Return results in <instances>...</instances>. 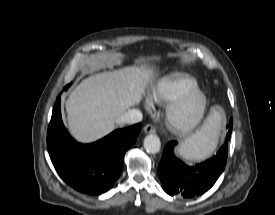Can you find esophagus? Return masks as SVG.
I'll list each match as a JSON object with an SVG mask.
<instances>
[{
	"mask_svg": "<svg viewBox=\"0 0 275 215\" xmlns=\"http://www.w3.org/2000/svg\"><path fill=\"white\" fill-rule=\"evenodd\" d=\"M143 130L145 133H155L156 132V128L152 124H147Z\"/></svg>",
	"mask_w": 275,
	"mask_h": 215,
	"instance_id": "esophagus-1",
	"label": "esophagus"
}]
</instances>
